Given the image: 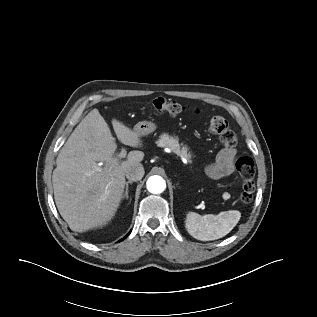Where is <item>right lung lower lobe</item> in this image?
<instances>
[{
    "instance_id": "right-lung-lower-lobe-1",
    "label": "right lung lower lobe",
    "mask_w": 317,
    "mask_h": 317,
    "mask_svg": "<svg viewBox=\"0 0 317 317\" xmlns=\"http://www.w3.org/2000/svg\"><path fill=\"white\" fill-rule=\"evenodd\" d=\"M130 232H131V231H130ZM130 232H129V234H130ZM129 234H128V235H129ZM128 235H127V236H128ZM127 236H126V237H127ZM126 237H124L123 239H125ZM123 239H121L120 241H122Z\"/></svg>"
}]
</instances>
